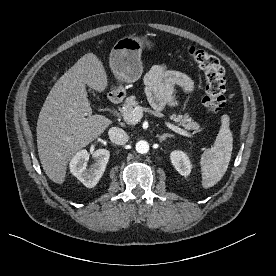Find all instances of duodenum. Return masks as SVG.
Wrapping results in <instances>:
<instances>
[{
	"instance_id": "duodenum-1",
	"label": "duodenum",
	"mask_w": 276,
	"mask_h": 276,
	"mask_svg": "<svg viewBox=\"0 0 276 276\" xmlns=\"http://www.w3.org/2000/svg\"><path fill=\"white\" fill-rule=\"evenodd\" d=\"M123 100V96L121 94H113L109 97V101L112 105H118Z\"/></svg>"
}]
</instances>
